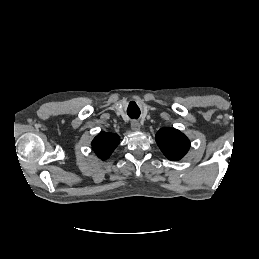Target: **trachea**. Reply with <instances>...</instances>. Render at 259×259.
<instances>
[{"label":"trachea","instance_id":"trachea-1","mask_svg":"<svg viewBox=\"0 0 259 259\" xmlns=\"http://www.w3.org/2000/svg\"><path fill=\"white\" fill-rule=\"evenodd\" d=\"M128 115L131 119H138L140 116V110L129 111Z\"/></svg>","mask_w":259,"mask_h":259}]
</instances>
